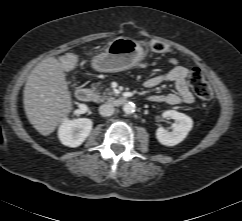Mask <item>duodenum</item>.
I'll list each match as a JSON object with an SVG mask.
<instances>
[{"label":"duodenum","instance_id":"410a0bca","mask_svg":"<svg viewBox=\"0 0 242 221\" xmlns=\"http://www.w3.org/2000/svg\"><path fill=\"white\" fill-rule=\"evenodd\" d=\"M76 97L79 101L90 102L94 98V94L91 89L87 87H79L76 90ZM128 101L127 97L120 96L116 97L111 101V104L114 106H122Z\"/></svg>","mask_w":242,"mask_h":221}]
</instances>
